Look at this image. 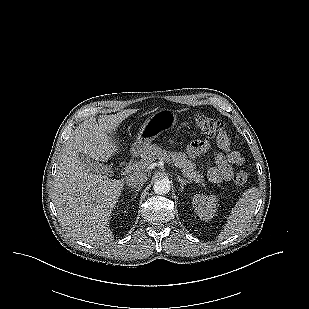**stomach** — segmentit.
<instances>
[{
	"mask_svg": "<svg viewBox=\"0 0 309 309\" xmlns=\"http://www.w3.org/2000/svg\"><path fill=\"white\" fill-rule=\"evenodd\" d=\"M177 122V114L170 109H160L152 114L139 131L134 150L144 151L164 130L173 127Z\"/></svg>",
	"mask_w": 309,
	"mask_h": 309,
	"instance_id": "0dacf381",
	"label": "stomach"
}]
</instances>
